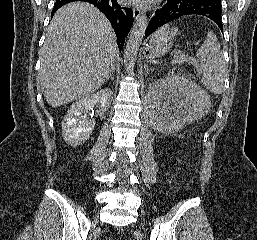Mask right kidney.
I'll list each match as a JSON object with an SVG mask.
<instances>
[{"mask_svg":"<svg viewBox=\"0 0 257 240\" xmlns=\"http://www.w3.org/2000/svg\"><path fill=\"white\" fill-rule=\"evenodd\" d=\"M113 92L104 89L76 101L67 111L62 121V136L70 146L83 144L88 140L95 125V121H88L86 114L98 104L99 112L103 113L110 107Z\"/></svg>","mask_w":257,"mask_h":240,"instance_id":"1","label":"right kidney"}]
</instances>
